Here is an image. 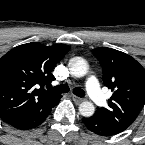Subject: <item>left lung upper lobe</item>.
<instances>
[{
    "mask_svg": "<svg viewBox=\"0 0 145 145\" xmlns=\"http://www.w3.org/2000/svg\"><path fill=\"white\" fill-rule=\"evenodd\" d=\"M103 68L104 85L112 90L108 108L96 113L120 131L126 130L145 104V69L130 55L100 47L92 50Z\"/></svg>",
    "mask_w": 145,
    "mask_h": 145,
    "instance_id": "5c2ea615",
    "label": "left lung upper lobe"
}]
</instances>
